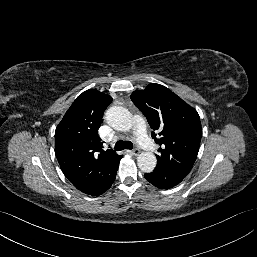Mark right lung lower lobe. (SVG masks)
I'll use <instances>...</instances> for the list:
<instances>
[{"instance_id":"right-lung-lower-lobe-1","label":"right lung lower lobe","mask_w":257,"mask_h":257,"mask_svg":"<svg viewBox=\"0 0 257 257\" xmlns=\"http://www.w3.org/2000/svg\"><path fill=\"white\" fill-rule=\"evenodd\" d=\"M119 161H120V160H119ZM118 166H119V162H118V164H117V167H116V170H115V173H114V176H113V179H112V182H111L110 186L112 185V183H113L114 180H115V176H116V172H117ZM109 188H110V187H109Z\"/></svg>"}]
</instances>
